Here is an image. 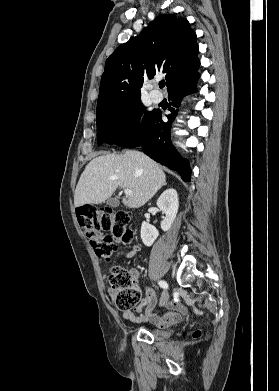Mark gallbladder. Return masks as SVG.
Wrapping results in <instances>:
<instances>
[{
	"label": "gallbladder",
	"instance_id": "obj_1",
	"mask_svg": "<svg viewBox=\"0 0 279 391\" xmlns=\"http://www.w3.org/2000/svg\"><path fill=\"white\" fill-rule=\"evenodd\" d=\"M106 203L111 207H117L119 205V200L117 198H110Z\"/></svg>",
	"mask_w": 279,
	"mask_h": 391
}]
</instances>
